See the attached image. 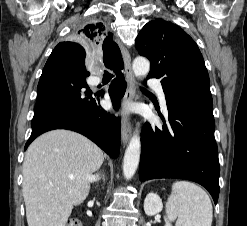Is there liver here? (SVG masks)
I'll use <instances>...</instances> for the list:
<instances>
[{"mask_svg": "<svg viewBox=\"0 0 247 226\" xmlns=\"http://www.w3.org/2000/svg\"><path fill=\"white\" fill-rule=\"evenodd\" d=\"M103 161L98 146L72 131H50L33 141L23 163L28 226H65L73 206L88 196L92 174Z\"/></svg>", "mask_w": 247, "mask_h": 226, "instance_id": "liver-1", "label": "liver"}]
</instances>
